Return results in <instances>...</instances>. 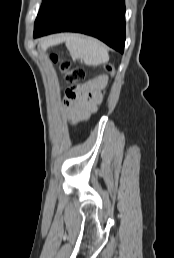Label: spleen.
<instances>
[{"label": "spleen", "mask_w": 174, "mask_h": 258, "mask_svg": "<svg viewBox=\"0 0 174 258\" xmlns=\"http://www.w3.org/2000/svg\"><path fill=\"white\" fill-rule=\"evenodd\" d=\"M66 46L74 59H81L89 65H98L109 60L106 47L91 37L71 34L66 39Z\"/></svg>", "instance_id": "1"}]
</instances>
